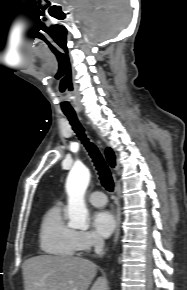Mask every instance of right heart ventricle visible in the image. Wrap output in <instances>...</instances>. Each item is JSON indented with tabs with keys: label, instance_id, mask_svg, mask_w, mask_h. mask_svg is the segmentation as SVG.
<instances>
[{
	"label": "right heart ventricle",
	"instance_id": "e07e8e85",
	"mask_svg": "<svg viewBox=\"0 0 187 290\" xmlns=\"http://www.w3.org/2000/svg\"><path fill=\"white\" fill-rule=\"evenodd\" d=\"M39 244L43 252L54 256L72 257L78 251L75 230L65 222L60 204L45 212L39 230Z\"/></svg>",
	"mask_w": 187,
	"mask_h": 290
}]
</instances>
